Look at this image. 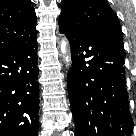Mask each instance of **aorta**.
Returning a JSON list of instances; mask_svg holds the SVG:
<instances>
[{
    "label": "aorta",
    "instance_id": "1",
    "mask_svg": "<svg viewBox=\"0 0 136 136\" xmlns=\"http://www.w3.org/2000/svg\"><path fill=\"white\" fill-rule=\"evenodd\" d=\"M60 48H61V52L63 54H66V52H67V41L64 38H62V40H61ZM65 61L68 64L70 63V56L69 55L65 56Z\"/></svg>",
    "mask_w": 136,
    "mask_h": 136
}]
</instances>
